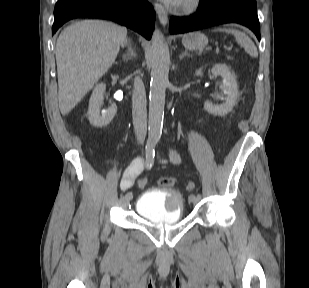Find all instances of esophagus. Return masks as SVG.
<instances>
[{
	"label": "esophagus",
	"instance_id": "1",
	"mask_svg": "<svg viewBox=\"0 0 309 288\" xmlns=\"http://www.w3.org/2000/svg\"><path fill=\"white\" fill-rule=\"evenodd\" d=\"M154 8H155V11L157 13V16H158L160 23L163 26H165L168 22V14H167L166 10L159 3H155Z\"/></svg>",
	"mask_w": 309,
	"mask_h": 288
}]
</instances>
